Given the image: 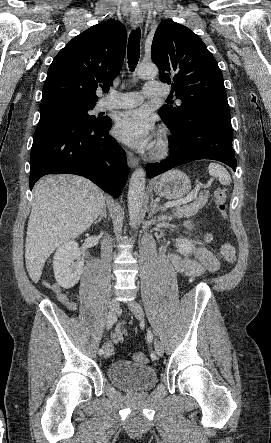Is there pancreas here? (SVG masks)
<instances>
[{
	"label": "pancreas",
	"mask_w": 271,
	"mask_h": 443,
	"mask_svg": "<svg viewBox=\"0 0 271 443\" xmlns=\"http://www.w3.org/2000/svg\"><path fill=\"white\" fill-rule=\"evenodd\" d=\"M207 198H209V192H205L204 196H199L194 204H179V206H175L173 208V216L174 218H190V216H195L199 210H202L203 206H205L207 202Z\"/></svg>",
	"instance_id": "pancreas-1"
}]
</instances>
